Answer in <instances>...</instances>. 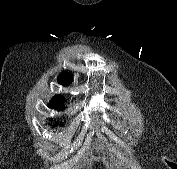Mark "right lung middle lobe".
<instances>
[{"label":"right lung middle lobe","mask_w":177,"mask_h":169,"mask_svg":"<svg viewBox=\"0 0 177 169\" xmlns=\"http://www.w3.org/2000/svg\"><path fill=\"white\" fill-rule=\"evenodd\" d=\"M54 109H62L63 108V105H60L58 107H53Z\"/></svg>","instance_id":"obj_1"}]
</instances>
